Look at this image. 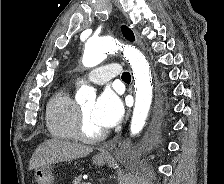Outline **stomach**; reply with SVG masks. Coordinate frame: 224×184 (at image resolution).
I'll use <instances>...</instances> for the list:
<instances>
[{
    "label": "stomach",
    "mask_w": 224,
    "mask_h": 184,
    "mask_svg": "<svg viewBox=\"0 0 224 184\" xmlns=\"http://www.w3.org/2000/svg\"><path fill=\"white\" fill-rule=\"evenodd\" d=\"M108 160V157L95 155L93 163L97 166H103ZM35 181L37 184H54L53 166L45 165L35 169Z\"/></svg>",
    "instance_id": "obj_1"
}]
</instances>
